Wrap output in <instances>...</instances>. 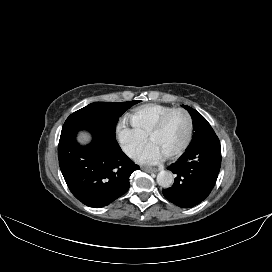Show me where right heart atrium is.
<instances>
[{
  "label": "right heart atrium",
  "mask_w": 272,
  "mask_h": 272,
  "mask_svg": "<svg viewBox=\"0 0 272 272\" xmlns=\"http://www.w3.org/2000/svg\"><path fill=\"white\" fill-rule=\"evenodd\" d=\"M116 134L122 149L132 158L137 156L147 140V135L129 126L125 120L118 122Z\"/></svg>",
  "instance_id": "right-heart-atrium-1"
}]
</instances>
